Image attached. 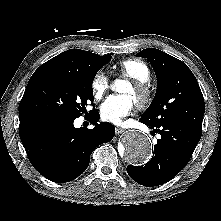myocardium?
<instances>
[{
  "instance_id": "1",
  "label": "myocardium",
  "mask_w": 221,
  "mask_h": 221,
  "mask_svg": "<svg viewBox=\"0 0 221 221\" xmlns=\"http://www.w3.org/2000/svg\"><path fill=\"white\" fill-rule=\"evenodd\" d=\"M136 92L135 104L138 108H145L152 100V91L147 82L133 80L131 83Z\"/></svg>"
}]
</instances>
